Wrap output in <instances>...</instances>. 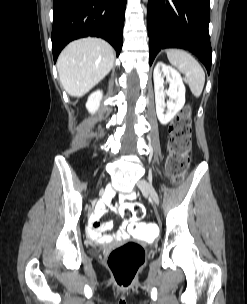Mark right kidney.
Instances as JSON below:
<instances>
[{"label": "right kidney", "instance_id": "1", "mask_svg": "<svg viewBox=\"0 0 247 304\" xmlns=\"http://www.w3.org/2000/svg\"><path fill=\"white\" fill-rule=\"evenodd\" d=\"M101 99H102V91L100 90H97L92 94H90L86 102V108L90 113H95L98 110Z\"/></svg>", "mask_w": 247, "mask_h": 304}]
</instances>
